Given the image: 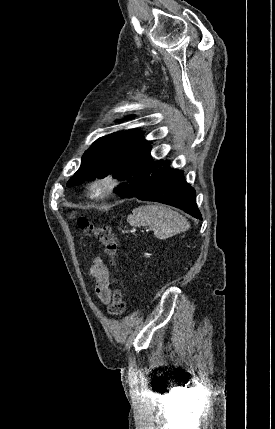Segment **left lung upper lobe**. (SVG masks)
Segmentation results:
<instances>
[{
  "instance_id": "1",
  "label": "left lung upper lobe",
  "mask_w": 275,
  "mask_h": 429,
  "mask_svg": "<svg viewBox=\"0 0 275 429\" xmlns=\"http://www.w3.org/2000/svg\"><path fill=\"white\" fill-rule=\"evenodd\" d=\"M150 150L151 145L143 138V132L135 129L101 137L84 153L79 170L67 186L113 174L118 180H127L118 187L122 194L153 162Z\"/></svg>"
}]
</instances>
